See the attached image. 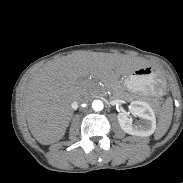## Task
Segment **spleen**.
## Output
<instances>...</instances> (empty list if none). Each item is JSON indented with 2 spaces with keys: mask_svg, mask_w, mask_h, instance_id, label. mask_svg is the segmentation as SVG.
<instances>
[{
  "mask_svg": "<svg viewBox=\"0 0 183 183\" xmlns=\"http://www.w3.org/2000/svg\"><path fill=\"white\" fill-rule=\"evenodd\" d=\"M172 114H173V103L172 100L168 98L163 104L162 109L160 110L159 113L158 125L155 133L156 140L162 138L168 131L172 121Z\"/></svg>",
  "mask_w": 183,
  "mask_h": 183,
  "instance_id": "obj_1",
  "label": "spleen"
}]
</instances>
